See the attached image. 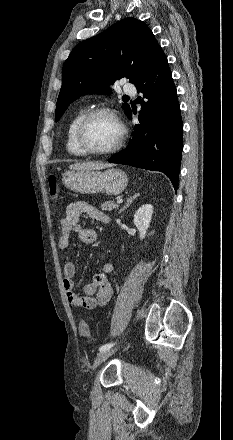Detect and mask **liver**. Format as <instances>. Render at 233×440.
Here are the masks:
<instances>
[{
    "label": "liver",
    "mask_w": 233,
    "mask_h": 440,
    "mask_svg": "<svg viewBox=\"0 0 233 440\" xmlns=\"http://www.w3.org/2000/svg\"><path fill=\"white\" fill-rule=\"evenodd\" d=\"M112 166L108 163H93V162H84V163H75L69 166L71 170H83V169H94L100 170L107 167Z\"/></svg>",
    "instance_id": "1"
}]
</instances>
